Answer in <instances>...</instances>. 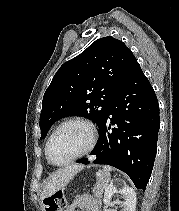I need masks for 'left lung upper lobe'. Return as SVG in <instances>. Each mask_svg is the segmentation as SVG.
I'll use <instances>...</instances> for the list:
<instances>
[{"label":"left lung upper lobe","mask_w":179,"mask_h":211,"mask_svg":"<svg viewBox=\"0 0 179 211\" xmlns=\"http://www.w3.org/2000/svg\"><path fill=\"white\" fill-rule=\"evenodd\" d=\"M133 57L122 41L107 36L64 63L43 97L41 139L54 122L66 116H84L100 129L111 98Z\"/></svg>","instance_id":"obj_1"}]
</instances>
